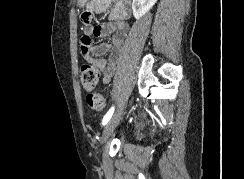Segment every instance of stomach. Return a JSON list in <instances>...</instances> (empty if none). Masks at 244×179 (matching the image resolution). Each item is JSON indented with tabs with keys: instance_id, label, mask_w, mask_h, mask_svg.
Listing matches in <instances>:
<instances>
[{
	"instance_id": "stomach-1",
	"label": "stomach",
	"mask_w": 244,
	"mask_h": 179,
	"mask_svg": "<svg viewBox=\"0 0 244 179\" xmlns=\"http://www.w3.org/2000/svg\"><path fill=\"white\" fill-rule=\"evenodd\" d=\"M79 3H87V0H79Z\"/></svg>"
}]
</instances>
